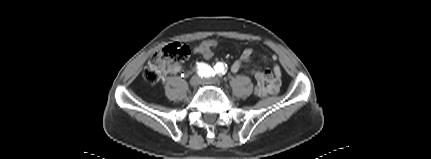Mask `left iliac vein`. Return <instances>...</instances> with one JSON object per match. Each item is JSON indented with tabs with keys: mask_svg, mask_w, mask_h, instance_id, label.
<instances>
[{
	"mask_svg": "<svg viewBox=\"0 0 431 159\" xmlns=\"http://www.w3.org/2000/svg\"><path fill=\"white\" fill-rule=\"evenodd\" d=\"M201 83L202 84H218L219 83V79L216 78V77L209 78V79H202Z\"/></svg>",
	"mask_w": 431,
	"mask_h": 159,
	"instance_id": "left-iliac-vein-1",
	"label": "left iliac vein"
}]
</instances>
